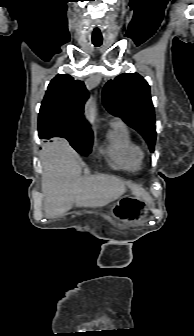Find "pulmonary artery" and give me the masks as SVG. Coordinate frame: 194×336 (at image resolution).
<instances>
[{"label": "pulmonary artery", "instance_id": "obj_1", "mask_svg": "<svg viewBox=\"0 0 194 336\" xmlns=\"http://www.w3.org/2000/svg\"><path fill=\"white\" fill-rule=\"evenodd\" d=\"M119 123H121V121L119 119H114L111 122L112 125L119 124Z\"/></svg>", "mask_w": 194, "mask_h": 336}]
</instances>
